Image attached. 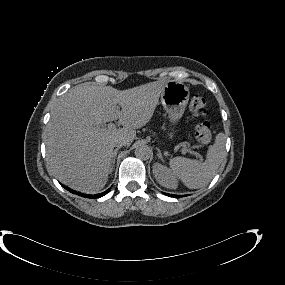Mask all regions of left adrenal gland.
<instances>
[{"label":"left adrenal gland","mask_w":285,"mask_h":285,"mask_svg":"<svg viewBox=\"0 0 285 285\" xmlns=\"http://www.w3.org/2000/svg\"><path fill=\"white\" fill-rule=\"evenodd\" d=\"M157 152H158L157 156L163 160V156H162L160 149L157 148Z\"/></svg>","instance_id":"1"}]
</instances>
